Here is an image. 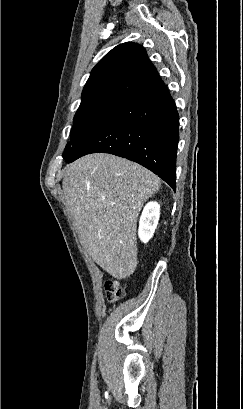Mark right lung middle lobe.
<instances>
[{"label":"right lung middle lobe","mask_w":243,"mask_h":409,"mask_svg":"<svg viewBox=\"0 0 243 409\" xmlns=\"http://www.w3.org/2000/svg\"><path fill=\"white\" fill-rule=\"evenodd\" d=\"M122 99H101L82 102L74 116V124L70 132V143L65 147L63 158L100 128L119 108Z\"/></svg>","instance_id":"1"}]
</instances>
